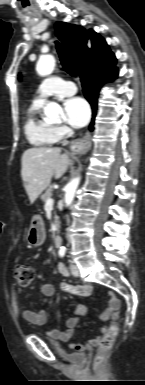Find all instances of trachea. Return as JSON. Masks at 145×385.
I'll return each mask as SVG.
<instances>
[{"instance_id":"obj_1","label":"trachea","mask_w":145,"mask_h":385,"mask_svg":"<svg viewBox=\"0 0 145 385\" xmlns=\"http://www.w3.org/2000/svg\"><path fill=\"white\" fill-rule=\"evenodd\" d=\"M56 49H57L60 61L63 65V68L65 69V71L68 72L73 77H76V75H77L76 69L66 59L65 51H64L63 47L61 46V44L58 42H56Z\"/></svg>"}]
</instances>
